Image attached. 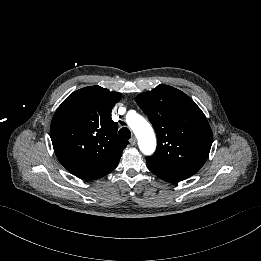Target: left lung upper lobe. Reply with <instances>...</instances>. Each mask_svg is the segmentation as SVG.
Instances as JSON below:
<instances>
[{
    "instance_id": "left-lung-upper-lobe-1",
    "label": "left lung upper lobe",
    "mask_w": 261,
    "mask_h": 261,
    "mask_svg": "<svg viewBox=\"0 0 261 261\" xmlns=\"http://www.w3.org/2000/svg\"><path fill=\"white\" fill-rule=\"evenodd\" d=\"M136 102L157 135V149L146 159L195 174L208 158L213 141L212 130L201 109L185 93L164 84L139 94Z\"/></svg>"
}]
</instances>
